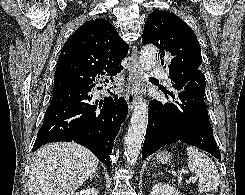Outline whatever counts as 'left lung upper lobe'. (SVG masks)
<instances>
[{
  "mask_svg": "<svg viewBox=\"0 0 245 195\" xmlns=\"http://www.w3.org/2000/svg\"><path fill=\"white\" fill-rule=\"evenodd\" d=\"M143 44H154L161 57H172L169 67L173 87L191 91L204 97L205 77L199 70L202 63L201 48L193 30L178 16L167 11H154L146 20Z\"/></svg>",
  "mask_w": 245,
  "mask_h": 195,
  "instance_id": "1",
  "label": "left lung upper lobe"
}]
</instances>
